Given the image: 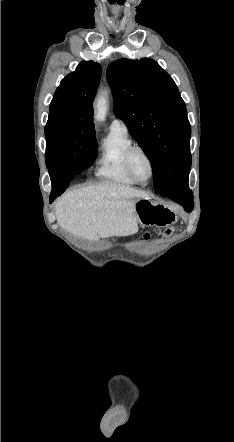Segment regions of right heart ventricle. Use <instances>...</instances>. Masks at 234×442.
<instances>
[{
  "label": "right heart ventricle",
  "mask_w": 234,
  "mask_h": 442,
  "mask_svg": "<svg viewBox=\"0 0 234 442\" xmlns=\"http://www.w3.org/2000/svg\"><path fill=\"white\" fill-rule=\"evenodd\" d=\"M134 142L125 129L111 127L100 148L96 163V176L102 180L132 186L136 182L125 168V154Z\"/></svg>",
  "instance_id": "obj_1"
}]
</instances>
